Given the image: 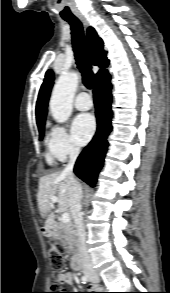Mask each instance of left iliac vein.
I'll list each match as a JSON object with an SVG mask.
<instances>
[{
    "label": "left iliac vein",
    "instance_id": "1",
    "mask_svg": "<svg viewBox=\"0 0 170 293\" xmlns=\"http://www.w3.org/2000/svg\"><path fill=\"white\" fill-rule=\"evenodd\" d=\"M89 280H90L92 283L97 284V283H99L100 278H99V276H98L97 273H94L93 275L89 276Z\"/></svg>",
    "mask_w": 170,
    "mask_h": 293
}]
</instances>
